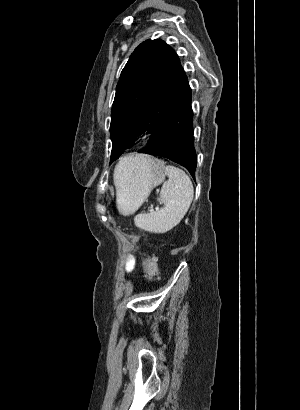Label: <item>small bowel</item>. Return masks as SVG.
Returning <instances> with one entry per match:
<instances>
[{
  "mask_svg": "<svg viewBox=\"0 0 300 410\" xmlns=\"http://www.w3.org/2000/svg\"><path fill=\"white\" fill-rule=\"evenodd\" d=\"M134 268H135V259L132 255H128L124 263V271L125 273L130 274L133 272Z\"/></svg>",
  "mask_w": 300,
  "mask_h": 410,
  "instance_id": "c3829d8e",
  "label": "small bowel"
}]
</instances>
